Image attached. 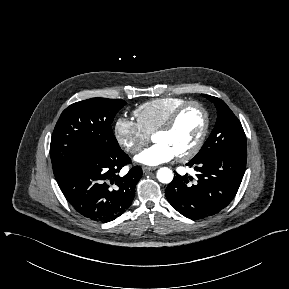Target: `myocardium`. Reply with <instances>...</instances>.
Returning a JSON list of instances; mask_svg holds the SVG:
<instances>
[{
    "mask_svg": "<svg viewBox=\"0 0 289 289\" xmlns=\"http://www.w3.org/2000/svg\"><path fill=\"white\" fill-rule=\"evenodd\" d=\"M190 107L198 108L203 114L204 121H203L202 130L196 142L194 143V145L188 151L180 155H177V158L180 161H187L193 158L200 151V149L202 148L205 142V139L209 131V126H210V116L205 106L202 103L195 101V100L186 101L185 103L180 105L178 108H176L171 113V115L167 118V120L160 127H158L156 131L153 133V137H154L156 134L166 133V132L171 131L174 128L180 116L183 114V112Z\"/></svg>",
    "mask_w": 289,
    "mask_h": 289,
    "instance_id": "obj_1",
    "label": "myocardium"
}]
</instances>
